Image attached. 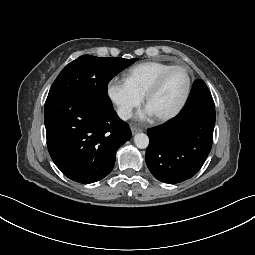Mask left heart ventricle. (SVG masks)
Returning a JSON list of instances; mask_svg holds the SVG:
<instances>
[{
    "instance_id": "obj_1",
    "label": "left heart ventricle",
    "mask_w": 255,
    "mask_h": 255,
    "mask_svg": "<svg viewBox=\"0 0 255 255\" xmlns=\"http://www.w3.org/2000/svg\"><path fill=\"white\" fill-rule=\"evenodd\" d=\"M186 86V72L182 69L174 70L166 78L161 89L149 100L147 106L155 116L169 113L181 100Z\"/></svg>"
}]
</instances>
